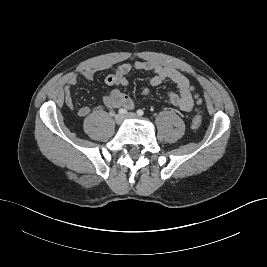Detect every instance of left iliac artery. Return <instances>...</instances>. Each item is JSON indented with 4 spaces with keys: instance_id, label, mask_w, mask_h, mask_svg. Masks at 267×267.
Returning a JSON list of instances; mask_svg holds the SVG:
<instances>
[{
    "instance_id": "obj_1",
    "label": "left iliac artery",
    "mask_w": 267,
    "mask_h": 267,
    "mask_svg": "<svg viewBox=\"0 0 267 267\" xmlns=\"http://www.w3.org/2000/svg\"><path fill=\"white\" fill-rule=\"evenodd\" d=\"M144 114L143 110L139 109L137 110V115L142 116Z\"/></svg>"
}]
</instances>
